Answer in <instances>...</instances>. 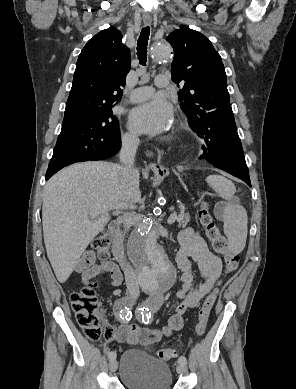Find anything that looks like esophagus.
<instances>
[{"label": "esophagus", "mask_w": 296, "mask_h": 389, "mask_svg": "<svg viewBox=\"0 0 296 389\" xmlns=\"http://www.w3.org/2000/svg\"><path fill=\"white\" fill-rule=\"evenodd\" d=\"M151 22H152V20H151L150 18H145V19H144V24H145V25H149V24H151ZM149 166H150V168H152V169H157V168H164V169H166V168L163 167L162 165H159V164H156V163H151Z\"/></svg>", "instance_id": "34e87169"}]
</instances>
